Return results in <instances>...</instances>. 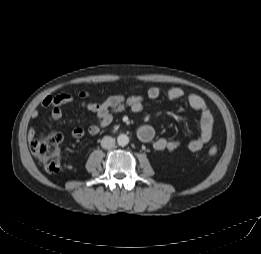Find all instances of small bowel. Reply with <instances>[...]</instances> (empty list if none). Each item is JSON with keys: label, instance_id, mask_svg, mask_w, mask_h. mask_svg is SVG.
<instances>
[{"label": "small bowel", "instance_id": "obj_1", "mask_svg": "<svg viewBox=\"0 0 261 254\" xmlns=\"http://www.w3.org/2000/svg\"><path fill=\"white\" fill-rule=\"evenodd\" d=\"M90 94L87 91H81L77 94L62 93L55 96H46L42 99L41 105L44 108H51L50 118L57 121L62 118L63 107L72 103H78L80 106L91 111L96 118L95 123L90 125L87 130L82 127H76L72 130V136L76 139L82 138L86 132L91 135L98 134L102 129L107 128L113 121L114 116L125 110L133 114L142 111L144 100H158L162 97V91L158 87H150L146 95L124 96L115 94L107 97L103 102L98 103L89 100ZM166 99L170 101L184 100L199 115L200 134L195 139L182 141L180 139H167L157 137L154 128L150 125H142L138 129V137L144 143H151L157 151H175L181 147H186L190 151H200L208 143L213 135V117L204 102V100L193 93H188L182 88L173 87L165 93ZM39 116L38 110L32 112V117ZM34 131L29 130V138H32Z\"/></svg>", "mask_w": 261, "mask_h": 254}]
</instances>
